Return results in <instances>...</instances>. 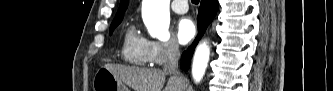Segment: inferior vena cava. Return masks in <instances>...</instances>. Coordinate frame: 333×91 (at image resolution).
Wrapping results in <instances>:
<instances>
[{
    "mask_svg": "<svg viewBox=\"0 0 333 91\" xmlns=\"http://www.w3.org/2000/svg\"><path fill=\"white\" fill-rule=\"evenodd\" d=\"M180 58V51L177 42H172L167 50V57L163 66V71L170 74L172 78L179 79L178 76V60Z\"/></svg>",
    "mask_w": 333,
    "mask_h": 91,
    "instance_id": "602c4592",
    "label": "inferior vena cava"
}]
</instances>
